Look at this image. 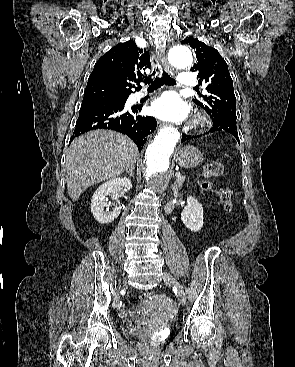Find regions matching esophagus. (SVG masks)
I'll use <instances>...</instances> for the list:
<instances>
[{
  "instance_id": "1",
  "label": "esophagus",
  "mask_w": 295,
  "mask_h": 367,
  "mask_svg": "<svg viewBox=\"0 0 295 367\" xmlns=\"http://www.w3.org/2000/svg\"><path fill=\"white\" fill-rule=\"evenodd\" d=\"M162 52V51H161ZM160 58V61L162 63V65L164 66L165 70L170 74V75H174L175 74V71L174 69L170 66V64L168 63L165 55L163 53L160 54L159 56ZM158 126L159 127H164L165 126V123L163 122H158Z\"/></svg>"
}]
</instances>
